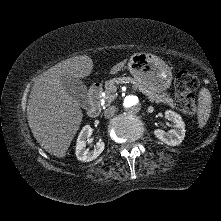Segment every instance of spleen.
Returning <instances> with one entry per match:
<instances>
[{
    "instance_id": "obj_1",
    "label": "spleen",
    "mask_w": 221,
    "mask_h": 221,
    "mask_svg": "<svg viewBox=\"0 0 221 221\" xmlns=\"http://www.w3.org/2000/svg\"><path fill=\"white\" fill-rule=\"evenodd\" d=\"M211 111V95L208 89L202 88L199 94V105H198V124L199 128L204 127L206 124Z\"/></svg>"
}]
</instances>
